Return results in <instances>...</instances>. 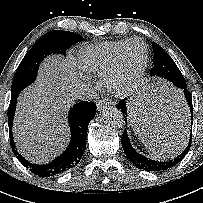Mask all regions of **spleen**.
I'll return each instance as SVG.
<instances>
[{
    "mask_svg": "<svg viewBox=\"0 0 203 203\" xmlns=\"http://www.w3.org/2000/svg\"><path fill=\"white\" fill-rule=\"evenodd\" d=\"M147 102L154 108V110H161L164 112H170V109H174L179 115H187L186 108L184 106L183 97L180 91L169 87L166 83H157L146 93ZM140 136V139L149 149L152 157L155 159H169L174 158L187 144L188 129L184 131L175 141L169 145L162 147L158 153L154 148L150 147L146 143L145 139Z\"/></svg>",
    "mask_w": 203,
    "mask_h": 203,
    "instance_id": "3e777b00",
    "label": "spleen"
}]
</instances>
